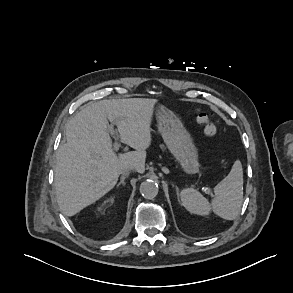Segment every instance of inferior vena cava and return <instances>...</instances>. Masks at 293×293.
I'll return each mask as SVG.
<instances>
[{
	"label": "inferior vena cava",
	"instance_id": "obj_1",
	"mask_svg": "<svg viewBox=\"0 0 293 293\" xmlns=\"http://www.w3.org/2000/svg\"><path fill=\"white\" fill-rule=\"evenodd\" d=\"M132 170H135L133 165H127L121 168L120 173L123 175L129 174Z\"/></svg>",
	"mask_w": 293,
	"mask_h": 293
}]
</instances>
